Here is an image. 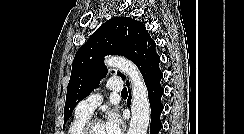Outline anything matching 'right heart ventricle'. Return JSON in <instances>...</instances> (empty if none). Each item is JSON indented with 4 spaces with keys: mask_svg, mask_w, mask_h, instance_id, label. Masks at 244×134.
<instances>
[{
    "mask_svg": "<svg viewBox=\"0 0 244 134\" xmlns=\"http://www.w3.org/2000/svg\"><path fill=\"white\" fill-rule=\"evenodd\" d=\"M88 120L89 116H84L76 113L68 126L66 134H79V131Z\"/></svg>",
    "mask_w": 244,
    "mask_h": 134,
    "instance_id": "1",
    "label": "right heart ventricle"
}]
</instances>
